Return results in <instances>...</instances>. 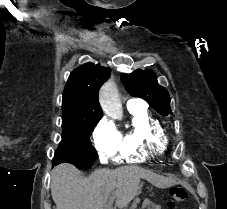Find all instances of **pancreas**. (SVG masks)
Masks as SVG:
<instances>
[{
	"label": "pancreas",
	"instance_id": "obj_1",
	"mask_svg": "<svg viewBox=\"0 0 227 209\" xmlns=\"http://www.w3.org/2000/svg\"><path fill=\"white\" fill-rule=\"evenodd\" d=\"M148 209H156L154 206L149 207Z\"/></svg>",
	"mask_w": 227,
	"mask_h": 209
}]
</instances>
